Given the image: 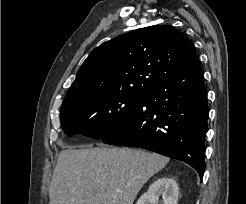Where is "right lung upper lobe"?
Returning a JSON list of instances; mask_svg holds the SVG:
<instances>
[{
  "label": "right lung upper lobe",
  "instance_id": "cb5924a9",
  "mask_svg": "<svg viewBox=\"0 0 246 204\" xmlns=\"http://www.w3.org/2000/svg\"><path fill=\"white\" fill-rule=\"evenodd\" d=\"M187 36L169 25L131 31L94 49L78 70L62 107L116 93H143L197 61Z\"/></svg>",
  "mask_w": 246,
  "mask_h": 204
}]
</instances>
